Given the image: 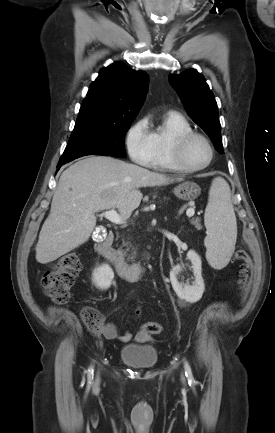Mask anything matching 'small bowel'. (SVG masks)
I'll return each mask as SVG.
<instances>
[{"label":"small bowel","mask_w":275,"mask_h":433,"mask_svg":"<svg viewBox=\"0 0 275 433\" xmlns=\"http://www.w3.org/2000/svg\"><path fill=\"white\" fill-rule=\"evenodd\" d=\"M140 313H141L140 308H136L134 312L135 317L138 318L140 316ZM103 335L106 339H118L121 342H128L133 338L132 333L128 331L120 335L118 333L117 326L112 322H108L104 325ZM134 339L137 342H141V343L153 341V338L149 334L144 333L141 330L135 334Z\"/></svg>","instance_id":"small-bowel-1"}]
</instances>
